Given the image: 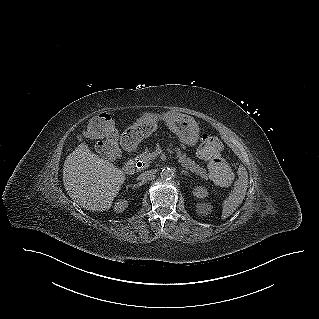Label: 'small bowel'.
I'll list each match as a JSON object with an SVG mask.
<instances>
[{
	"mask_svg": "<svg viewBox=\"0 0 319 319\" xmlns=\"http://www.w3.org/2000/svg\"><path fill=\"white\" fill-rule=\"evenodd\" d=\"M199 156H200L201 158H203L200 151H199Z\"/></svg>",
	"mask_w": 319,
	"mask_h": 319,
	"instance_id": "small-bowel-1",
	"label": "small bowel"
}]
</instances>
